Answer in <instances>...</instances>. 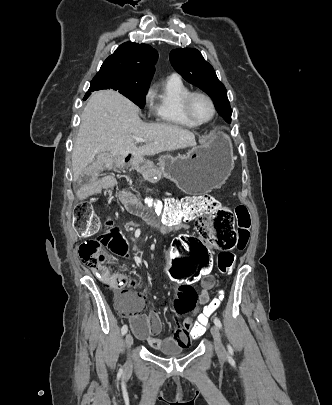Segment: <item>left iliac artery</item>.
<instances>
[{"instance_id": "44dca946", "label": "left iliac artery", "mask_w": 332, "mask_h": 405, "mask_svg": "<svg viewBox=\"0 0 332 405\" xmlns=\"http://www.w3.org/2000/svg\"><path fill=\"white\" fill-rule=\"evenodd\" d=\"M213 322L217 327H219V328L222 327V323L218 318H214Z\"/></svg>"}]
</instances>
